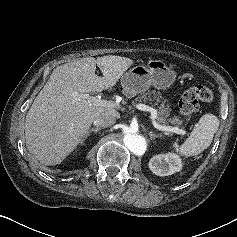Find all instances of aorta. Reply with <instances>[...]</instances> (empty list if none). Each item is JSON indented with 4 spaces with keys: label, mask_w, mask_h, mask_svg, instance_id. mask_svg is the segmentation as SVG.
<instances>
[{
    "label": "aorta",
    "mask_w": 237,
    "mask_h": 237,
    "mask_svg": "<svg viewBox=\"0 0 237 237\" xmlns=\"http://www.w3.org/2000/svg\"><path fill=\"white\" fill-rule=\"evenodd\" d=\"M124 143L131 152L137 155L144 153L146 149L144 137L138 134L136 129L131 127L124 130Z\"/></svg>",
    "instance_id": "762f6f07"
}]
</instances>
